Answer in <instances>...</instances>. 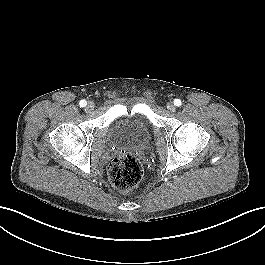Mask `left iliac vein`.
Segmentation results:
<instances>
[{"label": "left iliac vein", "instance_id": "1", "mask_svg": "<svg viewBox=\"0 0 265 265\" xmlns=\"http://www.w3.org/2000/svg\"><path fill=\"white\" fill-rule=\"evenodd\" d=\"M167 108H168V110H170L172 112L175 111V109H176L175 105L172 102H169L167 104Z\"/></svg>", "mask_w": 265, "mask_h": 265}]
</instances>
